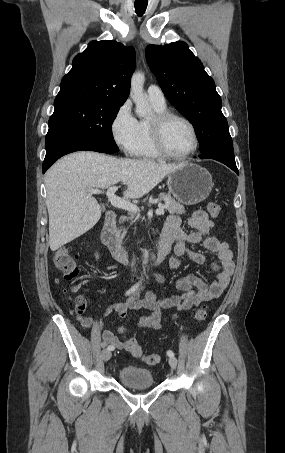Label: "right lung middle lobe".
Masks as SVG:
<instances>
[{
  "label": "right lung middle lobe",
  "mask_w": 285,
  "mask_h": 453,
  "mask_svg": "<svg viewBox=\"0 0 285 453\" xmlns=\"http://www.w3.org/2000/svg\"><path fill=\"white\" fill-rule=\"evenodd\" d=\"M122 104L103 98L55 100L51 119H59L101 147L118 152L111 128Z\"/></svg>",
  "instance_id": "1"
}]
</instances>
